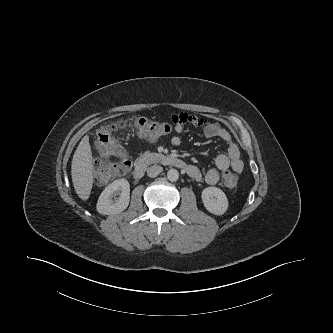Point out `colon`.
Wrapping results in <instances>:
<instances>
[{
    "label": "colon",
    "instance_id": "5ec220e1",
    "mask_svg": "<svg viewBox=\"0 0 333 333\" xmlns=\"http://www.w3.org/2000/svg\"><path fill=\"white\" fill-rule=\"evenodd\" d=\"M130 128L137 135L147 139H158L170 131V125L145 117L134 118L130 121H120L101 127L97 132L96 148L106 158H115L116 162H96L94 165L96 177L100 182H107L120 177L130 168L132 162L122 146L116 141L115 134ZM224 184L228 189L237 185V177L231 171L224 173Z\"/></svg>",
    "mask_w": 333,
    "mask_h": 333
}]
</instances>
